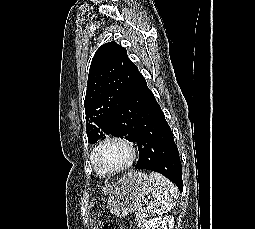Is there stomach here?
Wrapping results in <instances>:
<instances>
[{"mask_svg": "<svg viewBox=\"0 0 255 229\" xmlns=\"http://www.w3.org/2000/svg\"><path fill=\"white\" fill-rule=\"evenodd\" d=\"M151 183L141 171H131L119 179L111 188L108 208L117 217H125L136 211L149 194Z\"/></svg>", "mask_w": 255, "mask_h": 229, "instance_id": "stomach-1", "label": "stomach"}]
</instances>
